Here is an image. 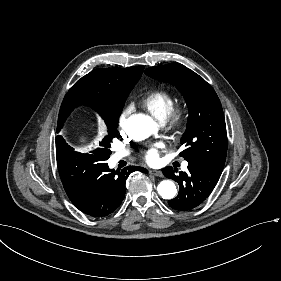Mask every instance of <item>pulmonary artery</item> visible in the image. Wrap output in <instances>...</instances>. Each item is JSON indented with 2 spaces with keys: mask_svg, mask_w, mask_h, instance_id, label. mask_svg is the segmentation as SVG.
I'll return each mask as SVG.
<instances>
[{
  "mask_svg": "<svg viewBox=\"0 0 281 281\" xmlns=\"http://www.w3.org/2000/svg\"><path fill=\"white\" fill-rule=\"evenodd\" d=\"M128 152L124 151V150H117L115 151V153L111 156V161L113 163H116L119 160L124 159L125 157H127ZM183 169L186 170L187 169V163L183 164Z\"/></svg>",
  "mask_w": 281,
  "mask_h": 281,
  "instance_id": "obj_1",
  "label": "pulmonary artery"
}]
</instances>
